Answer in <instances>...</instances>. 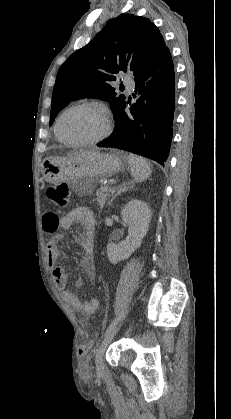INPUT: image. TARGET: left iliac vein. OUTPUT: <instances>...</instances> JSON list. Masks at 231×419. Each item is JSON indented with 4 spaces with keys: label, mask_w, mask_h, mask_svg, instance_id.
<instances>
[{
    "label": "left iliac vein",
    "mask_w": 231,
    "mask_h": 419,
    "mask_svg": "<svg viewBox=\"0 0 231 419\" xmlns=\"http://www.w3.org/2000/svg\"><path fill=\"white\" fill-rule=\"evenodd\" d=\"M120 327L114 328L102 341L101 345L99 346L97 353L95 355V361H96V368L97 372L99 374L104 373V362H103V356L105 354V351L108 347V345L111 343L115 335L118 333Z\"/></svg>",
    "instance_id": "1"
}]
</instances>
